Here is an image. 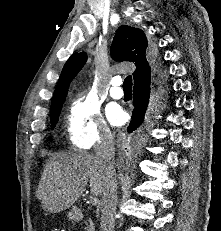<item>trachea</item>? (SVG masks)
Returning a JSON list of instances; mask_svg holds the SVG:
<instances>
[{"mask_svg":"<svg viewBox=\"0 0 221 231\" xmlns=\"http://www.w3.org/2000/svg\"><path fill=\"white\" fill-rule=\"evenodd\" d=\"M124 91H132V76H127L123 83Z\"/></svg>","mask_w":221,"mask_h":231,"instance_id":"trachea-1","label":"trachea"}]
</instances>
